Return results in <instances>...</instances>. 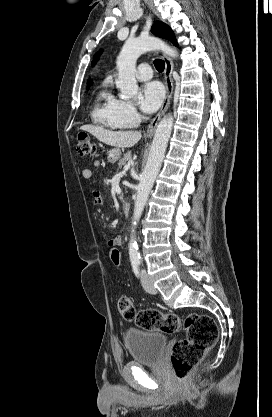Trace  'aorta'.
Segmentation results:
<instances>
[{
  "label": "aorta",
  "instance_id": "1",
  "mask_svg": "<svg viewBox=\"0 0 272 417\" xmlns=\"http://www.w3.org/2000/svg\"><path fill=\"white\" fill-rule=\"evenodd\" d=\"M152 50H162L170 57H177V52L173 48L156 37L140 36L135 39H128L124 43L117 57L118 79L116 81V86L120 89L123 100H129L137 95L136 61L141 54ZM172 127L173 116L170 114L165 116L157 126L147 163L137 187L133 213L134 226L141 218L148 195L161 168ZM129 256L131 261H139L140 259L138 246L133 235H131L129 242Z\"/></svg>",
  "mask_w": 272,
  "mask_h": 417
}]
</instances>
